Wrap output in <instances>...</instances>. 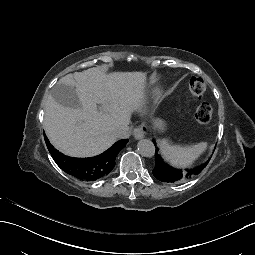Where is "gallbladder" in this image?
<instances>
[{
  "label": "gallbladder",
  "mask_w": 255,
  "mask_h": 255,
  "mask_svg": "<svg viewBox=\"0 0 255 255\" xmlns=\"http://www.w3.org/2000/svg\"><path fill=\"white\" fill-rule=\"evenodd\" d=\"M51 95L60 105L81 108L78 97L70 86L56 85L52 89Z\"/></svg>",
  "instance_id": "bac80fb5"
}]
</instances>
